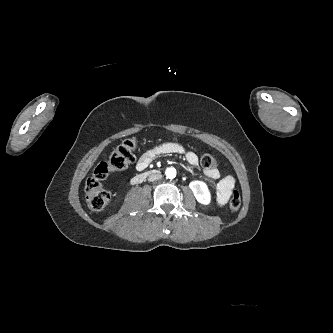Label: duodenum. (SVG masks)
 <instances>
[{
  "mask_svg": "<svg viewBox=\"0 0 333 333\" xmlns=\"http://www.w3.org/2000/svg\"><path fill=\"white\" fill-rule=\"evenodd\" d=\"M158 175H159V171H157V170L142 172V173L135 175L132 178L131 183L139 184V183L143 182L144 180H146L148 177L158 176Z\"/></svg>",
  "mask_w": 333,
  "mask_h": 333,
  "instance_id": "1",
  "label": "duodenum"
}]
</instances>
